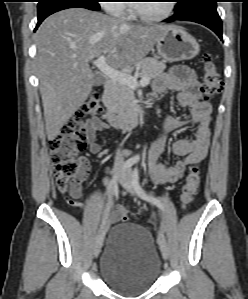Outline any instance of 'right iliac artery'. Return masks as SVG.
I'll use <instances>...</instances> for the list:
<instances>
[{
  "mask_svg": "<svg viewBox=\"0 0 248 299\" xmlns=\"http://www.w3.org/2000/svg\"><path fill=\"white\" fill-rule=\"evenodd\" d=\"M135 164V160L130 158L128 160H126L122 166V169L120 172H123L125 170H128L130 169L133 165ZM118 177H119V173H117L113 179L108 183V186H107V191H106V195L110 192L111 188L113 187V185H116L117 184V180H118Z\"/></svg>",
  "mask_w": 248,
  "mask_h": 299,
  "instance_id": "right-iliac-artery-1",
  "label": "right iliac artery"
}]
</instances>
